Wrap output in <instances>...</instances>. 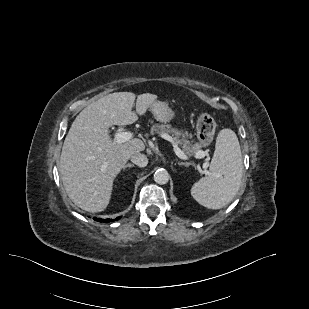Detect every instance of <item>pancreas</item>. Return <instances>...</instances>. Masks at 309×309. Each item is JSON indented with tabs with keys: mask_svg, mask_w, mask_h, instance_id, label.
Wrapping results in <instances>:
<instances>
[{
	"mask_svg": "<svg viewBox=\"0 0 309 309\" xmlns=\"http://www.w3.org/2000/svg\"><path fill=\"white\" fill-rule=\"evenodd\" d=\"M151 133H166L171 134L173 138L182 148L183 152L188 156H195L201 149V145L198 142H194L192 135L188 132H183L180 129L171 127L170 124H155L151 127Z\"/></svg>",
	"mask_w": 309,
	"mask_h": 309,
	"instance_id": "obj_1",
	"label": "pancreas"
}]
</instances>
